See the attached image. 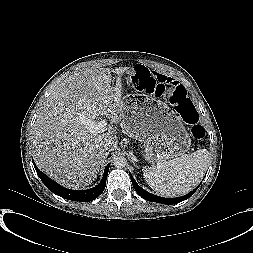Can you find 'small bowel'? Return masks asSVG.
Returning <instances> with one entry per match:
<instances>
[{
  "instance_id": "1",
  "label": "small bowel",
  "mask_w": 253,
  "mask_h": 253,
  "mask_svg": "<svg viewBox=\"0 0 253 253\" xmlns=\"http://www.w3.org/2000/svg\"><path fill=\"white\" fill-rule=\"evenodd\" d=\"M148 79H135L133 80L132 86L140 91H146L150 93H157L159 85L169 84L172 81L165 75L160 73L149 72Z\"/></svg>"
}]
</instances>
